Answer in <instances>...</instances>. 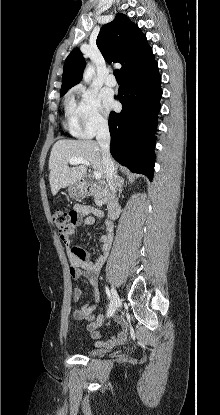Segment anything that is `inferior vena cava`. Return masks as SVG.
I'll use <instances>...</instances> for the list:
<instances>
[{"label":"inferior vena cava","mask_w":220,"mask_h":415,"mask_svg":"<svg viewBox=\"0 0 220 415\" xmlns=\"http://www.w3.org/2000/svg\"><path fill=\"white\" fill-rule=\"evenodd\" d=\"M96 140L101 148L105 176L109 185L108 211L110 217H112V211L115 205L116 178L114 163L110 157V133L106 122L99 123Z\"/></svg>","instance_id":"obj_1"}]
</instances>
